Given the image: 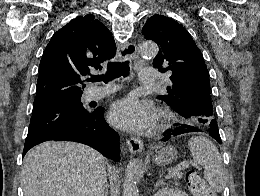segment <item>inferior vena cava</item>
Listing matches in <instances>:
<instances>
[{"mask_svg": "<svg viewBox=\"0 0 260 196\" xmlns=\"http://www.w3.org/2000/svg\"><path fill=\"white\" fill-rule=\"evenodd\" d=\"M94 196H103V194H101L100 190H96V192H94Z\"/></svg>", "mask_w": 260, "mask_h": 196, "instance_id": "1", "label": "inferior vena cava"}]
</instances>
